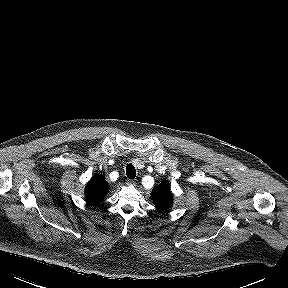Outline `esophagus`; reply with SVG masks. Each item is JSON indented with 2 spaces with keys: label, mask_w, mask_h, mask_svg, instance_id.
Listing matches in <instances>:
<instances>
[{
  "label": "esophagus",
  "mask_w": 288,
  "mask_h": 288,
  "mask_svg": "<svg viewBox=\"0 0 288 288\" xmlns=\"http://www.w3.org/2000/svg\"><path fill=\"white\" fill-rule=\"evenodd\" d=\"M126 184L129 186H135L136 185V180L135 179H127Z\"/></svg>",
  "instance_id": "esophagus-1"
}]
</instances>
